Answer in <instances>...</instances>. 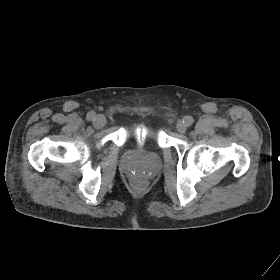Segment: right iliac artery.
Returning a JSON list of instances; mask_svg holds the SVG:
<instances>
[{
	"label": "right iliac artery",
	"instance_id": "right-iliac-artery-1",
	"mask_svg": "<svg viewBox=\"0 0 280 280\" xmlns=\"http://www.w3.org/2000/svg\"><path fill=\"white\" fill-rule=\"evenodd\" d=\"M86 118H87V120H89V121L95 120V119H96V113L93 112V111H91V112H89V113L87 114Z\"/></svg>",
	"mask_w": 280,
	"mask_h": 280
}]
</instances>
